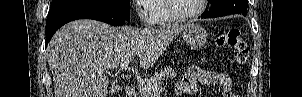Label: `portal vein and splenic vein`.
Returning <instances> with one entry per match:
<instances>
[{
  "label": "portal vein and splenic vein",
  "mask_w": 302,
  "mask_h": 97,
  "mask_svg": "<svg viewBox=\"0 0 302 97\" xmlns=\"http://www.w3.org/2000/svg\"><path fill=\"white\" fill-rule=\"evenodd\" d=\"M130 62H131V59H126L123 62H121V64H120L121 70H127ZM162 90L163 89L161 87L155 86L154 89H153V93L154 94H159Z\"/></svg>",
  "instance_id": "portal-vein-and-splenic-vein-1"
}]
</instances>
